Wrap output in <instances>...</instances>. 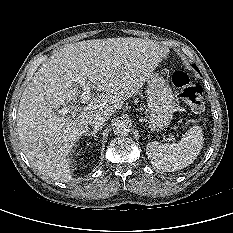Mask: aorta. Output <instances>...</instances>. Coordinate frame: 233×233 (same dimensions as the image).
Instances as JSON below:
<instances>
[{
    "label": "aorta",
    "instance_id": "762f6f07",
    "mask_svg": "<svg viewBox=\"0 0 233 233\" xmlns=\"http://www.w3.org/2000/svg\"><path fill=\"white\" fill-rule=\"evenodd\" d=\"M130 123L126 120H117L113 124V132L117 136H127L130 132Z\"/></svg>",
    "mask_w": 233,
    "mask_h": 233
}]
</instances>
